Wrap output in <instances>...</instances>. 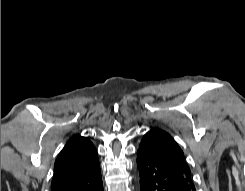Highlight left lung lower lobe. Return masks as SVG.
I'll use <instances>...</instances> for the list:
<instances>
[{"mask_svg": "<svg viewBox=\"0 0 245 191\" xmlns=\"http://www.w3.org/2000/svg\"><path fill=\"white\" fill-rule=\"evenodd\" d=\"M140 191H196L192 177L137 151Z\"/></svg>", "mask_w": 245, "mask_h": 191, "instance_id": "0a47b994", "label": "left lung lower lobe"}]
</instances>
